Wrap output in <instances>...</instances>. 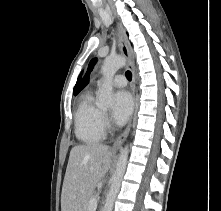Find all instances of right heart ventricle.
<instances>
[{
    "label": "right heart ventricle",
    "mask_w": 221,
    "mask_h": 211,
    "mask_svg": "<svg viewBox=\"0 0 221 211\" xmlns=\"http://www.w3.org/2000/svg\"><path fill=\"white\" fill-rule=\"evenodd\" d=\"M101 110L94 103L92 92L85 91L79 98L75 114V135L85 144H94L104 137L100 122Z\"/></svg>",
    "instance_id": "right-heart-ventricle-1"
}]
</instances>
